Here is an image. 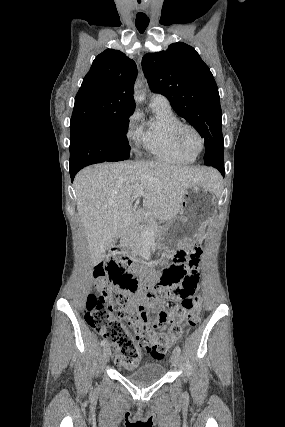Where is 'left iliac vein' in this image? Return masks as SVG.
<instances>
[{
	"label": "left iliac vein",
	"mask_w": 285,
	"mask_h": 427,
	"mask_svg": "<svg viewBox=\"0 0 285 427\" xmlns=\"http://www.w3.org/2000/svg\"><path fill=\"white\" fill-rule=\"evenodd\" d=\"M171 363L174 367H178L180 363V355L175 350L171 354Z\"/></svg>",
	"instance_id": "1"
}]
</instances>
